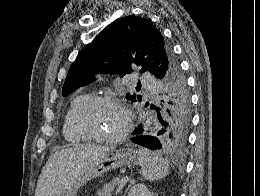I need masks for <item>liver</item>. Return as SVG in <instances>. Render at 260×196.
<instances>
[{
  "label": "liver",
  "instance_id": "1",
  "mask_svg": "<svg viewBox=\"0 0 260 196\" xmlns=\"http://www.w3.org/2000/svg\"><path fill=\"white\" fill-rule=\"evenodd\" d=\"M107 150H110V146L79 144L55 152L39 176L35 196H61L66 190H71L77 178L92 168L95 160L104 156Z\"/></svg>",
  "mask_w": 260,
  "mask_h": 196
}]
</instances>
